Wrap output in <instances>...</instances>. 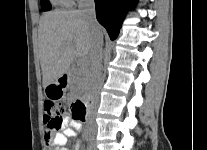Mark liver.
I'll return each instance as SVG.
<instances>
[{"label": "liver", "instance_id": "obj_1", "mask_svg": "<svg viewBox=\"0 0 207 150\" xmlns=\"http://www.w3.org/2000/svg\"><path fill=\"white\" fill-rule=\"evenodd\" d=\"M102 27L89 24L79 10H56L43 14L39 22L38 43L43 87L67 74L74 59L89 64L94 37Z\"/></svg>", "mask_w": 207, "mask_h": 150}]
</instances>
